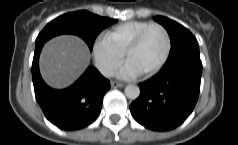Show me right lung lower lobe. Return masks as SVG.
Listing matches in <instances>:
<instances>
[{
	"mask_svg": "<svg viewBox=\"0 0 238 145\" xmlns=\"http://www.w3.org/2000/svg\"><path fill=\"white\" fill-rule=\"evenodd\" d=\"M44 43L35 46L32 80L36 99L46 118L60 129L74 131L94 122L100 114L102 100L110 82L96 68L86 72L69 88L48 87L39 72V55Z\"/></svg>",
	"mask_w": 238,
	"mask_h": 145,
	"instance_id": "right-lung-lower-lobe-1",
	"label": "right lung lower lobe"
}]
</instances>
